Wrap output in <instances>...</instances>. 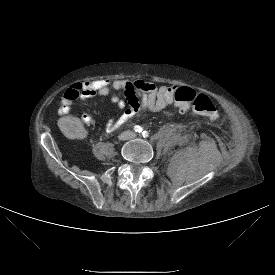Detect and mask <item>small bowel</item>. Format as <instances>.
<instances>
[{"label":"small bowel","mask_w":275,"mask_h":275,"mask_svg":"<svg viewBox=\"0 0 275 275\" xmlns=\"http://www.w3.org/2000/svg\"><path fill=\"white\" fill-rule=\"evenodd\" d=\"M177 87L174 85H161L137 80L133 83L124 80L97 79L77 83L69 88L64 97L69 98L75 94V98L88 99L94 96H110L111 102L121 111L117 117L111 118L106 124V131L113 132L120 128L126 121L131 119L140 109L158 112L174 102ZM124 91V97L130 107L115 95V92ZM66 113V108L62 110ZM81 122L74 118L63 116L57 120L56 126L60 132L66 133L68 137L83 138L85 136L83 126L93 123V116L84 113Z\"/></svg>","instance_id":"obj_1"}]
</instances>
